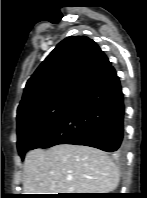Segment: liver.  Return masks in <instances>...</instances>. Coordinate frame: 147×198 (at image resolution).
Listing matches in <instances>:
<instances>
[{
	"instance_id": "6515ba94",
	"label": "liver",
	"mask_w": 147,
	"mask_h": 198,
	"mask_svg": "<svg viewBox=\"0 0 147 198\" xmlns=\"http://www.w3.org/2000/svg\"><path fill=\"white\" fill-rule=\"evenodd\" d=\"M119 183V169L103 151L71 144L34 149L24 161V194L108 193Z\"/></svg>"
}]
</instances>
